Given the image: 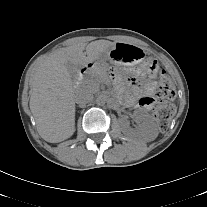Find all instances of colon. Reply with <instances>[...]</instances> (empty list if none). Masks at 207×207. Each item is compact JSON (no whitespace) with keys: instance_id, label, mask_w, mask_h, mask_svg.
Here are the masks:
<instances>
[{"instance_id":"5ec220e1","label":"colon","mask_w":207,"mask_h":207,"mask_svg":"<svg viewBox=\"0 0 207 207\" xmlns=\"http://www.w3.org/2000/svg\"><path fill=\"white\" fill-rule=\"evenodd\" d=\"M147 65L152 70H157V62L153 59L148 60ZM176 91L171 79L165 73L160 71L158 76V83L155 89V95L162 100L154 111V117L158 123L159 129L166 131L169 121L175 112L174 105L168 102L175 97Z\"/></svg>"}]
</instances>
